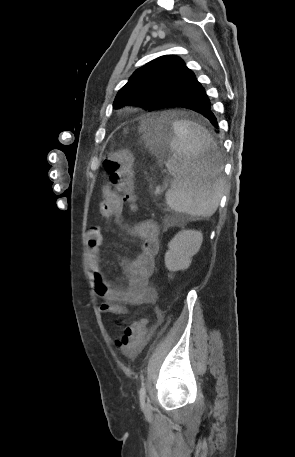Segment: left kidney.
<instances>
[{"label":"left kidney","mask_w":295,"mask_h":457,"mask_svg":"<svg viewBox=\"0 0 295 457\" xmlns=\"http://www.w3.org/2000/svg\"><path fill=\"white\" fill-rule=\"evenodd\" d=\"M203 235L196 230H183L177 233L168 244L165 254V266L171 271L187 269L192 257L199 251Z\"/></svg>","instance_id":"1"}]
</instances>
